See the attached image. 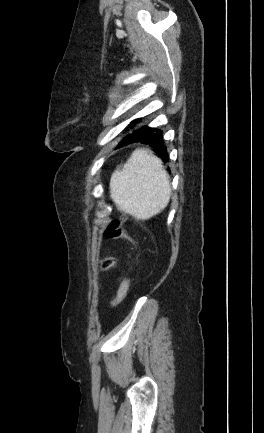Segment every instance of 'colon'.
<instances>
[{"label":"colon","mask_w":264,"mask_h":433,"mask_svg":"<svg viewBox=\"0 0 264 433\" xmlns=\"http://www.w3.org/2000/svg\"><path fill=\"white\" fill-rule=\"evenodd\" d=\"M126 217L120 216L113 218L104 230V234L109 239H124L136 247L135 242L132 238L122 229V225L125 223ZM117 266V260L115 257H105L100 261V267L103 270H108ZM130 287V280L128 276H125L119 286L115 298L111 302L112 307H117L125 298Z\"/></svg>","instance_id":"colon-1"}]
</instances>
